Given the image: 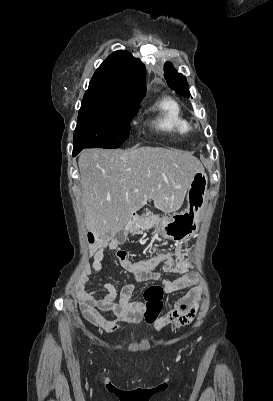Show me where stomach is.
<instances>
[{
	"mask_svg": "<svg viewBox=\"0 0 273 401\" xmlns=\"http://www.w3.org/2000/svg\"><path fill=\"white\" fill-rule=\"evenodd\" d=\"M208 176L204 170H196L186 192L187 209L170 217H161L155 233L171 241H187L199 229L201 213L207 205Z\"/></svg>",
	"mask_w": 273,
	"mask_h": 401,
	"instance_id": "stomach-1",
	"label": "stomach"
}]
</instances>
